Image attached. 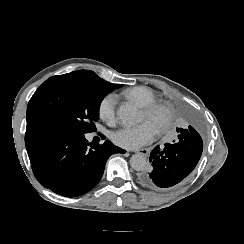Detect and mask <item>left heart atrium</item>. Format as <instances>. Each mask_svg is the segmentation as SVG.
<instances>
[{"mask_svg":"<svg viewBox=\"0 0 244 244\" xmlns=\"http://www.w3.org/2000/svg\"><path fill=\"white\" fill-rule=\"evenodd\" d=\"M156 138L157 129L148 122L134 128L120 129L111 136L114 144L129 150H136L144 145L151 144Z\"/></svg>","mask_w":244,"mask_h":244,"instance_id":"left-heart-atrium-1","label":"left heart atrium"}]
</instances>
